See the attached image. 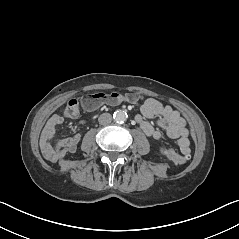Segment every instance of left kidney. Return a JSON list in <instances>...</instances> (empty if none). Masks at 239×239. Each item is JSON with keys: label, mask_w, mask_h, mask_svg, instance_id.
<instances>
[{"label": "left kidney", "mask_w": 239, "mask_h": 239, "mask_svg": "<svg viewBox=\"0 0 239 239\" xmlns=\"http://www.w3.org/2000/svg\"><path fill=\"white\" fill-rule=\"evenodd\" d=\"M158 152H159V154H160L161 156H164V157H166V156L169 155V149H168L167 147H165V146H160V147L158 148Z\"/></svg>", "instance_id": "obj_1"}]
</instances>
